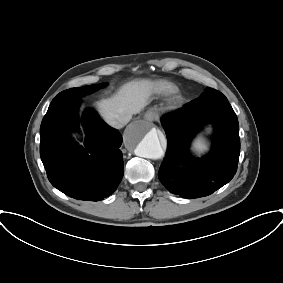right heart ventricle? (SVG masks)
Instances as JSON below:
<instances>
[{"label":"right heart ventricle","mask_w":283,"mask_h":283,"mask_svg":"<svg viewBox=\"0 0 283 283\" xmlns=\"http://www.w3.org/2000/svg\"><path fill=\"white\" fill-rule=\"evenodd\" d=\"M161 86H162V88H164L167 91L171 90V88L168 85L161 84Z\"/></svg>","instance_id":"1"}]
</instances>
